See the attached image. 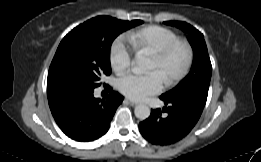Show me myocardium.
Wrapping results in <instances>:
<instances>
[{"instance_id":"f54148a6","label":"myocardium","mask_w":261,"mask_h":162,"mask_svg":"<svg viewBox=\"0 0 261 162\" xmlns=\"http://www.w3.org/2000/svg\"><path fill=\"white\" fill-rule=\"evenodd\" d=\"M178 50H182L184 52V63L179 71L172 74L165 80L167 86L176 85L190 72L194 61L193 48L186 40L179 39L164 48L151 53L152 56L155 57L160 63H165Z\"/></svg>"}]
</instances>
